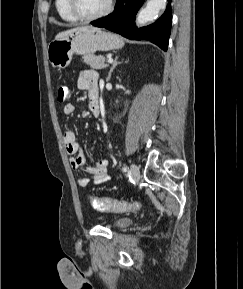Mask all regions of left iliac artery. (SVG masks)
<instances>
[{"label":"left iliac artery","instance_id":"44dca946","mask_svg":"<svg viewBox=\"0 0 243 289\" xmlns=\"http://www.w3.org/2000/svg\"><path fill=\"white\" fill-rule=\"evenodd\" d=\"M124 172H126L128 170V167L127 166H124L123 169H122Z\"/></svg>","mask_w":243,"mask_h":289}]
</instances>
